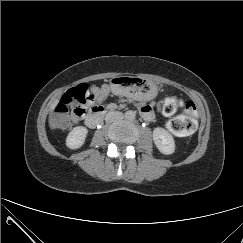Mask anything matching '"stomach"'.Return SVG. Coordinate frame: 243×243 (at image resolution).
Masks as SVG:
<instances>
[{
    "label": "stomach",
    "mask_w": 243,
    "mask_h": 243,
    "mask_svg": "<svg viewBox=\"0 0 243 243\" xmlns=\"http://www.w3.org/2000/svg\"><path fill=\"white\" fill-rule=\"evenodd\" d=\"M112 90L133 99H151L160 93L158 83L132 76H118L112 80Z\"/></svg>",
    "instance_id": "0dacf381"
}]
</instances>
